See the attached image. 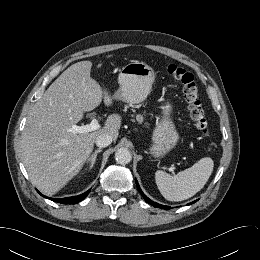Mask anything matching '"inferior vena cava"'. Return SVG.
Returning <instances> with one entry per match:
<instances>
[{"label": "inferior vena cava", "mask_w": 260, "mask_h": 260, "mask_svg": "<svg viewBox=\"0 0 260 260\" xmlns=\"http://www.w3.org/2000/svg\"><path fill=\"white\" fill-rule=\"evenodd\" d=\"M112 136L106 133L100 134L99 136H97L95 143L98 147L100 148H104L107 147L108 145H110L112 143Z\"/></svg>", "instance_id": "obj_1"}]
</instances>
